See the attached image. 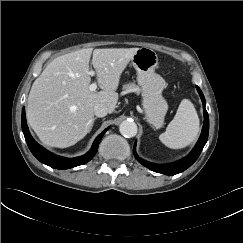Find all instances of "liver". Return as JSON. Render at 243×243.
<instances>
[{"label": "liver", "instance_id": "1", "mask_svg": "<svg viewBox=\"0 0 243 243\" xmlns=\"http://www.w3.org/2000/svg\"><path fill=\"white\" fill-rule=\"evenodd\" d=\"M139 48L80 49L51 61L34 81L27 101V121L40 141L66 148L90 132L94 106L104 104L113 113L120 77ZM99 92L89 90V62Z\"/></svg>", "mask_w": 243, "mask_h": 243}]
</instances>
